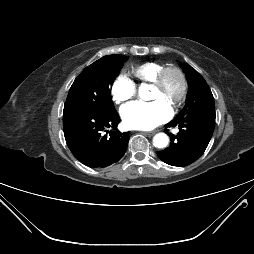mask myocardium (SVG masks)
<instances>
[{
    "label": "myocardium",
    "instance_id": "myocardium-1",
    "mask_svg": "<svg viewBox=\"0 0 254 254\" xmlns=\"http://www.w3.org/2000/svg\"><path fill=\"white\" fill-rule=\"evenodd\" d=\"M169 73L174 74L179 81V93L171 109L172 111H175L183 104L187 96L188 84L183 71L176 66H164L158 71L155 79L151 82V85L161 89L164 86L166 75Z\"/></svg>",
    "mask_w": 254,
    "mask_h": 254
}]
</instances>
